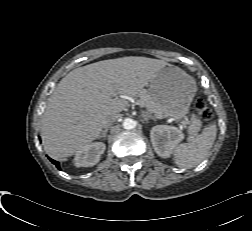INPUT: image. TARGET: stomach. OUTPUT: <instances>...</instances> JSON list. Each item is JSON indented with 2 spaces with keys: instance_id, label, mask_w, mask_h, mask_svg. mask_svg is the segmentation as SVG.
Returning <instances> with one entry per match:
<instances>
[{
  "instance_id": "0dacf381",
  "label": "stomach",
  "mask_w": 252,
  "mask_h": 231,
  "mask_svg": "<svg viewBox=\"0 0 252 231\" xmlns=\"http://www.w3.org/2000/svg\"><path fill=\"white\" fill-rule=\"evenodd\" d=\"M195 80L183 70L166 65L149 84V93L161 111L160 117L186 118L196 94Z\"/></svg>"
}]
</instances>
